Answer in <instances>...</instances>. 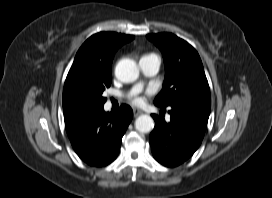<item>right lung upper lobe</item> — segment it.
<instances>
[{"mask_svg": "<svg viewBox=\"0 0 272 198\" xmlns=\"http://www.w3.org/2000/svg\"><path fill=\"white\" fill-rule=\"evenodd\" d=\"M134 39L133 35L100 32L88 38L78 50L63 89L65 121L91 109L89 90L99 80L111 76L115 52Z\"/></svg>", "mask_w": 272, "mask_h": 198, "instance_id": "cb5924a9", "label": "right lung upper lobe"}]
</instances>
